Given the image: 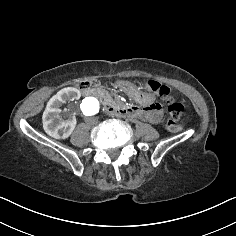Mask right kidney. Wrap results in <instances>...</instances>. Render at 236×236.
Here are the masks:
<instances>
[{"label":"right kidney","instance_id":"1","mask_svg":"<svg viewBox=\"0 0 236 236\" xmlns=\"http://www.w3.org/2000/svg\"><path fill=\"white\" fill-rule=\"evenodd\" d=\"M70 97L80 98L81 94L78 89L68 87L52 96L51 101L44 108L43 114V128L45 132L56 139L68 138L76 126L75 116L66 119L65 115L61 112L68 105V98Z\"/></svg>","mask_w":236,"mask_h":236}]
</instances>
